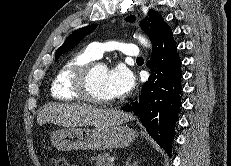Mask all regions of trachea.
<instances>
[{"instance_id":"obj_1","label":"trachea","mask_w":231,"mask_h":166,"mask_svg":"<svg viewBox=\"0 0 231 166\" xmlns=\"http://www.w3.org/2000/svg\"><path fill=\"white\" fill-rule=\"evenodd\" d=\"M144 59L142 57H138L136 61H143Z\"/></svg>"}]
</instances>
